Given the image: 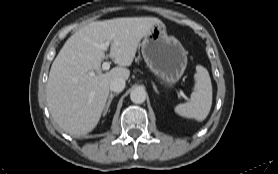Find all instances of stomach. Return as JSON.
I'll return each mask as SVG.
<instances>
[{
    "mask_svg": "<svg viewBox=\"0 0 278 174\" xmlns=\"http://www.w3.org/2000/svg\"><path fill=\"white\" fill-rule=\"evenodd\" d=\"M141 52L150 71L168 86L175 85L186 69L187 52L177 38L168 35L163 23L145 34Z\"/></svg>",
    "mask_w": 278,
    "mask_h": 174,
    "instance_id": "0dacf381",
    "label": "stomach"
}]
</instances>
